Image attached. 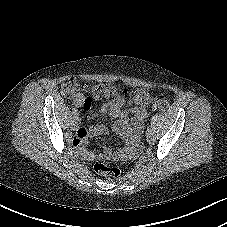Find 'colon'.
Here are the masks:
<instances>
[{
  "label": "colon",
  "mask_w": 227,
  "mask_h": 227,
  "mask_svg": "<svg viewBox=\"0 0 227 227\" xmlns=\"http://www.w3.org/2000/svg\"><path fill=\"white\" fill-rule=\"evenodd\" d=\"M61 90L67 97H74L76 94L80 93V90H84L89 101H92V99H106L116 92L109 84L81 85L75 78L66 79L62 84ZM133 98L141 104H147L151 101L150 94L142 89L136 90L133 94ZM168 107L169 103L164 97H159L154 103V108L157 110L165 111ZM93 170L97 174L103 175L110 180H116L120 176V170L118 168L109 166L103 162L95 163Z\"/></svg>",
  "instance_id": "colon-1"
}]
</instances>
